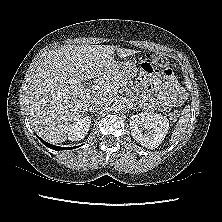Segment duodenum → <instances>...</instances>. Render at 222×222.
<instances>
[{"mask_svg": "<svg viewBox=\"0 0 222 222\" xmlns=\"http://www.w3.org/2000/svg\"><path fill=\"white\" fill-rule=\"evenodd\" d=\"M104 76V72H99L96 77H95V80H100L102 77Z\"/></svg>", "mask_w": 222, "mask_h": 222, "instance_id": "1", "label": "duodenum"}]
</instances>
